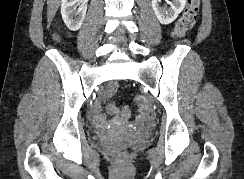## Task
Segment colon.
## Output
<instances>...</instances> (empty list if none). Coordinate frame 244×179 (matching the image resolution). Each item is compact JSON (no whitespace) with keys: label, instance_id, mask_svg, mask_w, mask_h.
I'll use <instances>...</instances> for the list:
<instances>
[{"label":"colon","instance_id":"1","mask_svg":"<svg viewBox=\"0 0 244 179\" xmlns=\"http://www.w3.org/2000/svg\"><path fill=\"white\" fill-rule=\"evenodd\" d=\"M199 10L200 0H190L176 22L173 29L174 36H185L189 31H191L195 25ZM60 38L61 37L59 35L55 36L56 40H60ZM135 98V102L139 103L137 106L138 110H151V102H149V98H144L143 95H136ZM128 105L133 106L134 102L129 101ZM106 108L117 109V112H120V114H116V111H105V116H115L116 119H120V123H129V119H131V107H121V104H107ZM116 156L117 158H125L126 155L123 150H120Z\"/></svg>","mask_w":244,"mask_h":179}]
</instances>
